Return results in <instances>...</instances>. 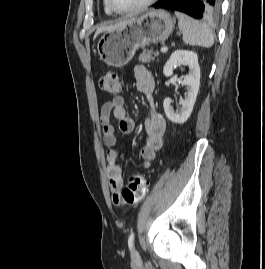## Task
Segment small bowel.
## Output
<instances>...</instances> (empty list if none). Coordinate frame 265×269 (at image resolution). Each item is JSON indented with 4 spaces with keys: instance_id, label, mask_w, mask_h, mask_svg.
<instances>
[{
    "instance_id": "obj_1",
    "label": "small bowel",
    "mask_w": 265,
    "mask_h": 269,
    "mask_svg": "<svg viewBox=\"0 0 265 269\" xmlns=\"http://www.w3.org/2000/svg\"><path fill=\"white\" fill-rule=\"evenodd\" d=\"M136 88L144 95L149 103V113L144 119L145 141L141 148L143 166L148 168L155 159L156 152L162 147L166 122L158 112L153 93L155 81L151 73L142 65L134 69ZM119 122V129L123 134H129L134 129V121L128 116L124 99L115 97L106 101L100 110L99 122L103 134V141L107 155V178L114 203H119V194L122 186L121 169L118 165L117 137L115 127L111 124V116Z\"/></svg>"
}]
</instances>
